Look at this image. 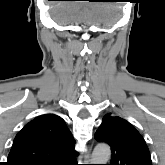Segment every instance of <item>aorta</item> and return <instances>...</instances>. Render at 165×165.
<instances>
[{"label":"aorta","mask_w":165,"mask_h":165,"mask_svg":"<svg viewBox=\"0 0 165 165\" xmlns=\"http://www.w3.org/2000/svg\"><path fill=\"white\" fill-rule=\"evenodd\" d=\"M110 156V147L107 144H98L93 150L91 164H107Z\"/></svg>","instance_id":"obj_1"}]
</instances>
